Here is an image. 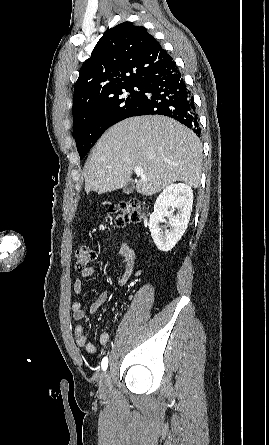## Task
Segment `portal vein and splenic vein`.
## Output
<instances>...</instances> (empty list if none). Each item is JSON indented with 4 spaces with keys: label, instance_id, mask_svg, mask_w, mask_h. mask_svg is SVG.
<instances>
[{
    "label": "portal vein and splenic vein",
    "instance_id": "portal-vein-and-splenic-vein-1",
    "mask_svg": "<svg viewBox=\"0 0 269 445\" xmlns=\"http://www.w3.org/2000/svg\"><path fill=\"white\" fill-rule=\"evenodd\" d=\"M134 172H135V174L138 175V176H143V169H142L141 167H136V168L134 169Z\"/></svg>",
    "mask_w": 269,
    "mask_h": 445
}]
</instances>
